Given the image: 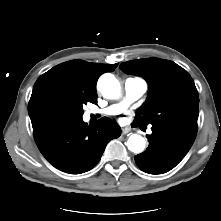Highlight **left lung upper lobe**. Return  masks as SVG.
<instances>
[{
	"mask_svg": "<svg viewBox=\"0 0 221 221\" xmlns=\"http://www.w3.org/2000/svg\"><path fill=\"white\" fill-rule=\"evenodd\" d=\"M120 69L143 77L148 97L134 119L138 125L167 123L197 130L198 91L189 73L176 63L146 58L128 61Z\"/></svg>",
	"mask_w": 221,
	"mask_h": 221,
	"instance_id": "left-lung-upper-lobe-1",
	"label": "left lung upper lobe"
}]
</instances>
